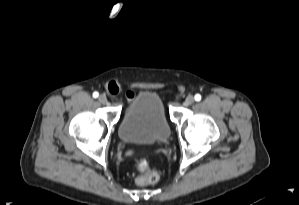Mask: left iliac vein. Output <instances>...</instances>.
<instances>
[{"instance_id": "4c4485c4", "label": "left iliac vein", "mask_w": 299, "mask_h": 205, "mask_svg": "<svg viewBox=\"0 0 299 205\" xmlns=\"http://www.w3.org/2000/svg\"><path fill=\"white\" fill-rule=\"evenodd\" d=\"M194 103V97L192 95H188L186 98H185V101H184V104L186 106H189L191 104Z\"/></svg>"}]
</instances>
